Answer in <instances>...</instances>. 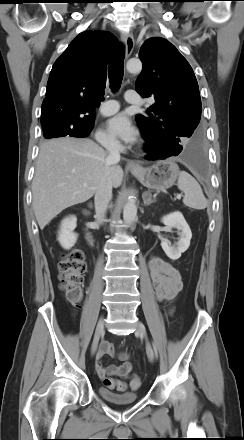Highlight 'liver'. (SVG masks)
Segmentation results:
<instances>
[{
  "label": "liver",
  "instance_id": "obj_1",
  "mask_svg": "<svg viewBox=\"0 0 244 440\" xmlns=\"http://www.w3.org/2000/svg\"><path fill=\"white\" fill-rule=\"evenodd\" d=\"M105 175L118 188L124 173L94 141L64 137L44 142L32 182V207L40 229L64 209L89 200Z\"/></svg>",
  "mask_w": 244,
  "mask_h": 440
}]
</instances>
